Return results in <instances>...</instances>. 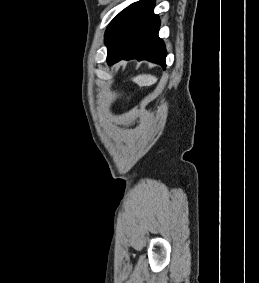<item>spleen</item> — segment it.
Here are the masks:
<instances>
[{"label":"spleen","instance_id":"obj_1","mask_svg":"<svg viewBox=\"0 0 259 283\" xmlns=\"http://www.w3.org/2000/svg\"><path fill=\"white\" fill-rule=\"evenodd\" d=\"M133 81L139 86H150L157 81V78L152 75L143 74V75H138L137 77H134Z\"/></svg>","mask_w":259,"mask_h":283}]
</instances>
